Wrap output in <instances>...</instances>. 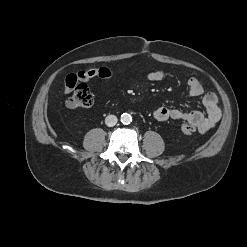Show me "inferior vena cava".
I'll return each mask as SVG.
<instances>
[{
	"label": "inferior vena cava",
	"instance_id": "inferior-vena-cava-1",
	"mask_svg": "<svg viewBox=\"0 0 247 247\" xmlns=\"http://www.w3.org/2000/svg\"><path fill=\"white\" fill-rule=\"evenodd\" d=\"M118 119L115 115H108L106 118H105V124L109 127H113L116 125Z\"/></svg>",
	"mask_w": 247,
	"mask_h": 247
}]
</instances>
